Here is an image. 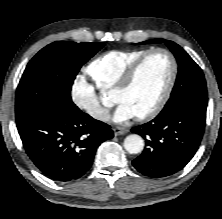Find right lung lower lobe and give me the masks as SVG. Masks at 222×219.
Here are the masks:
<instances>
[{"label":"right lung lower lobe","instance_id":"98d812e1","mask_svg":"<svg viewBox=\"0 0 222 219\" xmlns=\"http://www.w3.org/2000/svg\"><path fill=\"white\" fill-rule=\"evenodd\" d=\"M16 121L30 159L45 176L58 182L83 176L97 147L113 137L109 125L83 113L65 98H55Z\"/></svg>","mask_w":222,"mask_h":219}]
</instances>
